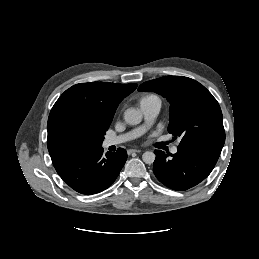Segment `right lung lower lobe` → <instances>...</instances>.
<instances>
[{
  "label": "right lung lower lobe",
  "instance_id": "right-lung-lower-lobe-1",
  "mask_svg": "<svg viewBox=\"0 0 259 259\" xmlns=\"http://www.w3.org/2000/svg\"><path fill=\"white\" fill-rule=\"evenodd\" d=\"M49 153L63 181L82 194H95L107 189L127 160V153L122 148L103 156L102 146L74 147Z\"/></svg>",
  "mask_w": 259,
  "mask_h": 259
}]
</instances>
